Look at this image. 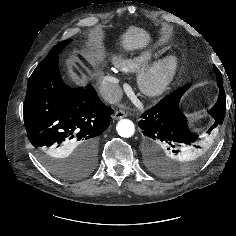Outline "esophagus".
I'll list each match as a JSON object with an SVG mask.
<instances>
[{"label": "esophagus", "mask_w": 236, "mask_h": 236, "mask_svg": "<svg viewBox=\"0 0 236 236\" xmlns=\"http://www.w3.org/2000/svg\"><path fill=\"white\" fill-rule=\"evenodd\" d=\"M126 115L127 114L123 110H117V111H115V113L113 115V119L118 120V119L126 117Z\"/></svg>", "instance_id": "1"}]
</instances>
